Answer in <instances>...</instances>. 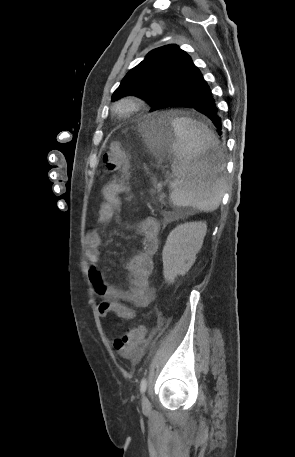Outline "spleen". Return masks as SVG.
Segmentation results:
<instances>
[{
  "mask_svg": "<svg viewBox=\"0 0 295 457\" xmlns=\"http://www.w3.org/2000/svg\"><path fill=\"white\" fill-rule=\"evenodd\" d=\"M172 124L178 141L172 146L175 181L170 199L176 206L212 212L226 188L225 178L218 174L223 169L218 139L207 126L187 117L174 118ZM208 150L215 152L214 163L202 156Z\"/></svg>",
  "mask_w": 295,
  "mask_h": 457,
  "instance_id": "3e777b00",
  "label": "spleen"
}]
</instances>
